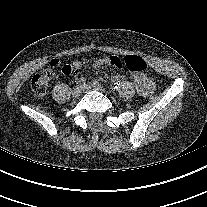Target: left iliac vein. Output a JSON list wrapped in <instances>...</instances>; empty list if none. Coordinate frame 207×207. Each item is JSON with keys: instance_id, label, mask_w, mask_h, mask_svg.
I'll return each mask as SVG.
<instances>
[{"instance_id": "left-iliac-vein-1", "label": "left iliac vein", "mask_w": 207, "mask_h": 207, "mask_svg": "<svg viewBox=\"0 0 207 207\" xmlns=\"http://www.w3.org/2000/svg\"><path fill=\"white\" fill-rule=\"evenodd\" d=\"M82 89L84 92L89 91V90H96V91L104 92V88L94 86V85H84Z\"/></svg>"}]
</instances>
